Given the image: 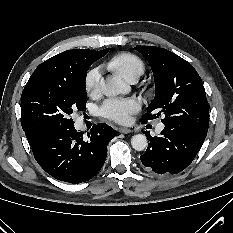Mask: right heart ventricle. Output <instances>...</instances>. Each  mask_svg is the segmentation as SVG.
Masks as SVG:
<instances>
[{"mask_svg": "<svg viewBox=\"0 0 233 233\" xmlns=\"http://www.w3.org/2000/svg\"><path fill=\"white\" fill-rule=\"evenodd\" d=\"M107 67L127 80L139 77L144 72L142 60L129 52H121L114 55L108 61Z\"/></svg>", "mask_w": 233, "mask_h": 233, "instance_id": "right-heart-ventricle-1", "label": "right heart ventricle"}]
</instances>
